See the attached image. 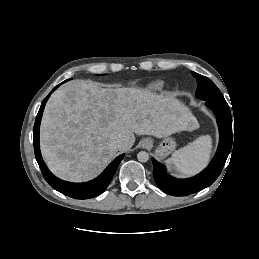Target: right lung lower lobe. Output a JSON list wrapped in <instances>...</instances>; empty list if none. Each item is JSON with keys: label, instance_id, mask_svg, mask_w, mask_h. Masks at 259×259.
I'll return each instance as SVG.
<instances>
[{"label": "right lung lower lobe", "instance_id": "obj_1", "mask_svg": "<svg viewBox=\"0 0 259 259\" xmlns=\"http://www.w3.org/2000/svg\"><path fill=\"white\" fill-rule=\"evenodd\" d=\"M61 84L57 85L49 93V95L43 100V102L40 106L39 112L36 116L34 129H33L35 157L39 164V167L41 169L44 179L55 190L59 191L60 193H62L64 195L75 198V199L93 198L95 196L100 195L107 188V186L109 185V183L111 182V180L113 178V175H114L116 169L118 168V165L120 164L121 160L123 159L124 155L122 154V155L118 156L112 163H110V165L103 171V173L100 176H98L96 179H94L90 182H87V183L66 182V181H63V180L57 178L49 171V169L45 165V163L42 159L41 153H40L39 128H40V122H41L45 104H46L48 98L50 97L51 93L54 90H56Z\"/></svg>", "mask_w": 259, "mask_h": 259}]
</instances>
